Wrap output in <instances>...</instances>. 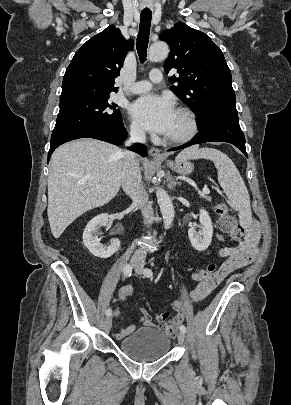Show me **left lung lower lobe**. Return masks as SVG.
I'll list each match as a JSON object with an SVG mask.
<instances>
[{
    "instance_id": "0a47b994",
    "label": "left lung lower lobe",
    "mask_w": 291,
    "mask_h": 405,
    "mask_svg": "<svg viewBox=\"0 0 291 405\" xmlns=\"http://www.w3.org/2000/svg\"><path fill=\"white\" fill-rule=\"evenodd\" d=\"M212 141L231 143L238 147L246 157H248L245 148V137L239 125L237 112L230 110L216 112L207 125L200 129V133H198L194 139L180 147L170 149V151L184 149L194 144Z\"/></svg>"
}]
</instances>
